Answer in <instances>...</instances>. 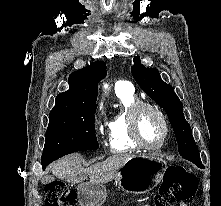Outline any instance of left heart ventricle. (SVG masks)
I'll return each mask as SVG.
<instances>
[{
  "label": "left heart ventricle",
  "instance_id": "left-heart-ventricle-1",
  "mask_svg": "<svg viewBox=\"0 0 221 206\" xmlns=\"http://www.w3.org/2000/svg\"><path fill=\"white\" fill-rule=\"evenodd\" d=\"M142 139L148 145H157L163 138V124L156 113L150 109H142L138 119Z\"/></svg>",
  "mask_w": 221,
  "mask_h": 206
}]
</instances>
